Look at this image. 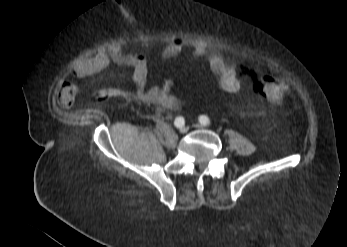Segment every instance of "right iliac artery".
Instances as JSON below:
<instances>
[{
    "instance_id": "obj_1",
    "label": "right iliac artery",
    "mask_w": 347,
    "mask_h": 247,
    "mask_svg": "<svg viewBox=\"0 0 347 247\" xmlns=\"http://www.w3.org/2000/svg\"><path fill=\"white\" fill-rule=\"evenodd\" d=\"M184 124H185V120H184V118L181 117V116H180V117H177V118L175 119V121H174V125H175L176 127H178V128L184 126Z\"/></svg>"
}]
</instances>
